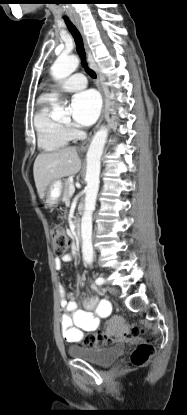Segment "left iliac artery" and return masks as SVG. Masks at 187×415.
Listing matches in <instances>:
<instances>
[{"instance_id":"1","label":"left iliac artery","mask_w":187,"mask_h":415,"mask_svg":"<svg viewBox=\"0 0 187 415\" xmlns=\"http://www.w3.org/2000/svg\"><path fill=\"white\" fill-rule=\"evenodd\" d=\"M104 282H105V280H104V278H102V277H98V278L96 279V284H97V285H102V284H104Z\"/></svg>"}]
</instances>
